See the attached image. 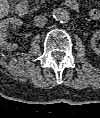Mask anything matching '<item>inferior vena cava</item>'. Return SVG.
<instances>
[{
  "instance_id": "1",
  "label": "inferior vena cava",
  "mask_w": 100,
  "mask_h": 118,
  "mask_svg": "<svg viewBox=\"0 0 100 118\" xmlns=\"http://www.w3.org/2000/svg\"><path fill=\"white\" fill-rule=\"evenodd\" d=\"M47 17L44 15H38L34 17V25L37 27H43L47 23Z\"/></svg>"
}]
</instances>
